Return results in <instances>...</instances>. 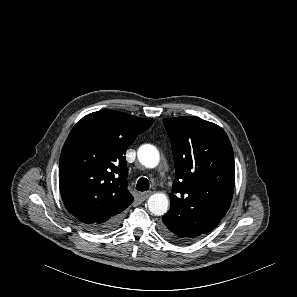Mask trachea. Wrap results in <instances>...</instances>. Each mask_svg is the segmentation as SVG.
<instances>
[{
	"mask_svg": "<svg viewBox=\"0 0 297 297\" xmlns=\"http://www.w3.org/2000/svg\"><path fill=\"white\" fill-rule=\"evenodd\" d=\"M149 181L144 178V177H141L138 181H137V184H136V190L138 191H147L149 189Z\"/></svg>",
	"mask_w": 297,
	"mask_h": 297,
	"instance_id": "obj_1",
	"label": "trachea"
}]
</instances>
